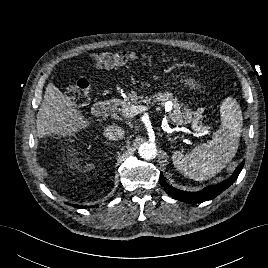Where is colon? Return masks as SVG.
Listing matches in <instances>:
<instances>
[{"label": "colon", "instance_id": "obj_1", "mask_svg": "<svg viewBox=\"0 0 268 268\" xmlns=\"http://www.w3.org/2000/svg\"><path fill=\"white\" fill-rule=\"evenodd\" d=\"M134 52L125 51H104L94 55L93 61L97 68L113 69L124 66L127 62L136 60ZM66 96L75 106H83L90 96V84L82 79L76 81L66 91Z\"/></svg>", "mask_w": 268, "mask_h": 268}]
</instances>
